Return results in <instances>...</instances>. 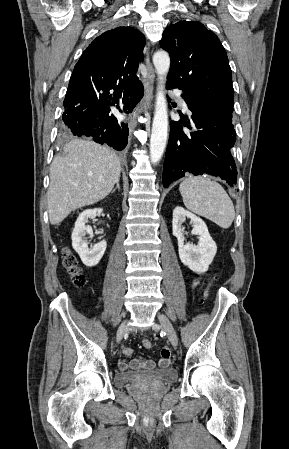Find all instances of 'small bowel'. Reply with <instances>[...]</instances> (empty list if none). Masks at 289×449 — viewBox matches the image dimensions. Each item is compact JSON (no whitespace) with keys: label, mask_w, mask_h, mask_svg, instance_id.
<instances>
[{"label":"small bowel","mask_w":289,"mask_h":449,"mask_svg":"<svg viewBox=\"0 0 289 449\" xmlns=\"http://www.w3.org/2000/svg\"><path fill=\"white\" fill-rule=\"evenodd\" d=\"M133 352L131 347H124L123 348V354L126 356L131 355ZM160 356H159V366L161 369H170L172 366V363L170 361L171 359V349L168 346L163 347V349L160 351ZM119 368L123 371L129 370V369H133V370H137V369H146V370H150L155 368V362L151 359H146V358H135L131 361H127V360H120L119 361Z\"/></svg>","instance_id":"c3829d8e"}]
</instances>
